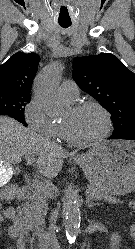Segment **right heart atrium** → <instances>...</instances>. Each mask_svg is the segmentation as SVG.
<instances>
[{
	"label": "right heart atrium",
	"instance_id": "1",
	"mask_svg": "<svg viewBox=\"0 0 135 249\" xmlns=\"http://www.w3.org/2000/svg\"><path fill=\"white\" fill-rule=\"evenodd\" d=\"M24 118L34 132L48 138L59 137L58 124L48 116L43 104L36 96L32 97L26 105Z\"/></svg>",
	"mask_w": 135,
	"mask_h": 249
}]
</instances>
